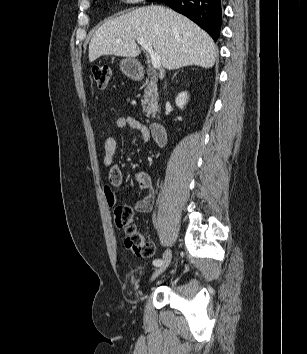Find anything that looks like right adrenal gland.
Returning a JSON list of instances; mask_svg holds the SVG:
<instances>
[{
  "label": "right adrenal gland",
  "instance_id": "2a0ac1e0",
  "mask_svg": "<svg viewBox=\"0 0 307 354\" xmlns=\"http://www.w3.org/2000/svg\"><path fill=\"white\" fill-rule=\"evenodd\" d=\"M175 75H176V73L174 74V76H173L172 80L174 79Z\"/></svg>",
  "mask_w": 307,
  "mask_h": 354
}]
</instances>
